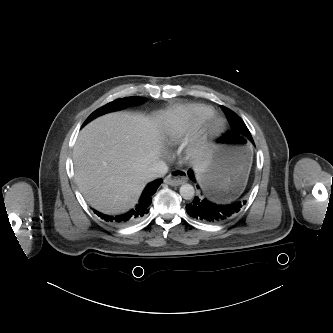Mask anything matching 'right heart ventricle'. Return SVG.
I'll return each instance as SVG.
<instances>
[{"mask_svg": "<svg viewBox=\"0 0 333 333\" xmlns=\"http://www.w3.org/2000/svg\"><path fill=\"white\" fill-rule=\"evenodd\" d=\"M213 112L211 107L204 104H189L171 110L164 131L165 141L170 145L180 142L197 122L211 116Z\"/></svg>", "mask_w": 333, "mask_h": 333, "instance_id": "1", "label": "right heart ventricle"}]
</instances>
